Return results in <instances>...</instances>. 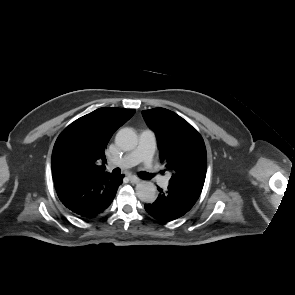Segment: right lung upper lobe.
Instances as JSON below:
<instances>
[{"label":"right lung upper lobe","instance_id":"right-lung-upper-lobe-1","mask_svg":"<svg viewBox=\"0 0 295 295\" xmlns=\"http://www.w3.org/2000/svg\"><path fill=\"white\" fill-rule=\"evenodd\" d=\"M135 113L133 109L99 108L67 126L52 152L54 183H78L105 173V149L113 133Z\"/></svg>","mask_w":295,"mask_h":295}]
</instances>
